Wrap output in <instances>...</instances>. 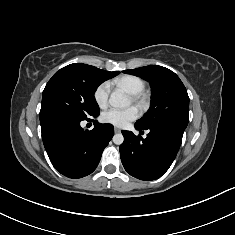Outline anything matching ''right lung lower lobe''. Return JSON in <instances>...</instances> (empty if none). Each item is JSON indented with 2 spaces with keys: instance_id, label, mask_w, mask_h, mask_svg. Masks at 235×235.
Returning <instances> with one entry per match:
<instances>
[{
  "instance_id": "right-lung-lower-lobe-1",
  "label": "right lung lower lobe",
  "mask_w": 235,
  "mask_h": 235,
  "mask_svg": "<svg viewBox=\"0 0 235 235\" xmlns=\"http://www.w3.org/2000/svg\"><path fill=\"white\" fill-rule=\"evenodd\" d=\"M81 121L46 119L40 121L42 139L49 159L58 172L77 179L92 173L104 148L114 135L111 124L95 121L93 130H84Z\"/></svg>"
}]
</instances>
